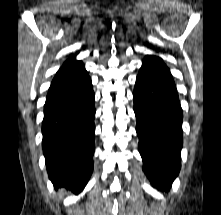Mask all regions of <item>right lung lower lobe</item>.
Masks as SVG:
<instances>
[{
    "label": "right lung lower lobe",
    "mask_w": 221,
    "mask_h": 215,
    "mask_svg": "<svg viewBox=\"0 0 221 215\" xmlns=\"http://www.w3.org/2000/svg\"><path fill=\"white\" fill-rule=\"evenodd\" d=\"M94 92L86 71L50 86L42 123L43 153L54 188L80 193L93 171Z\"/></svg>",
    "instance_id": "right-lung-lower-lobe-1"
}]
</instances>
